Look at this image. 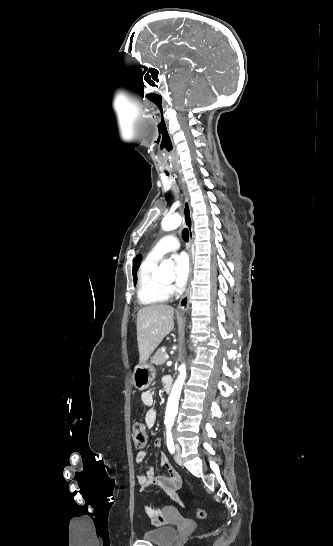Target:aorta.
<instances>
[{"instance_id": "762f6f07", "label": "aorta", "mask_w": 333, "mask_h": 546, "mask_svg": "<svg viewBox=\"0 0 333 546\" xmlns=\"http://www.w3.org/2000/svg\"><path fill=\"white\" fill-rule=\"evenodd\" d=\"M182 223L181 216L177 213L164 217L162 220V229L165 231H171L179 227ZM173 263L171 261H163L157 269V274L161 278H175V273L173 271ZM179 375L173 385L172 391L170 393L167 408L165 412V424L168 428H171L174 424V420L178 411L179 398L181 390L186 378V366L182 364L179 367Z\"/></svg>"}]
</instances>
